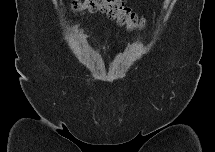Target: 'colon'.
I'll return each instance as SVG.
<instances>
[{
    "label": "colon",
    "instance_id": "colon-1",
    "mask_svg": "<svg viewBox=\"0 0 215 152\" xmlns=\"http://www.w3.org/2000/svg\"><path fill=\"white\" fill-rule=\"evenodd\" d=\"M73 9L79 12H103L118 24L126 26L130 30L139 29L142 20L128 7L118 0H83L73 3Z\"/></svg>",
    "mask_w": 215,
    "mask_h": 152
}]
</instances>
